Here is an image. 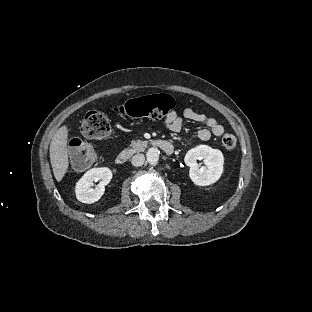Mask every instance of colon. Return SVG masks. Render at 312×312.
Listing matches in <instances>:
<instances>
[{
  "label": "colon",
  "mask_w": 312,
  "mask_h": 312,
  "mask_svg": "<svg viewBox=\"0 0 312 312\" xmlns=\"http://www.w3.org/2000/svg\"><path fill=\"white\" fill-rule=\"evenodd\" d=\"M173 105L174 100L170 95L158 94L128 100L117 112L122 116L160 120L168 114ZM80 132L86 138L106 139L111 133V124L101 111L89 110L82 119ZM236 142V137L231 134L223 138V146L226 149H233ZM72 152L74 163L79 165L85 166L96 157L89 147L75 148Z\"/></svg>",
  "instance_id": "obj_1"
}]
</instances>
